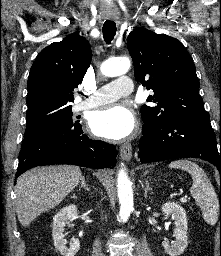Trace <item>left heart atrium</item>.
Masks as SVG:
<instances>
[{
	"label": "left heart atrium",
	"mask_w": 221,
	"mask_h": 256,
	"mask_svg": "<svg viewBox=\"0 0 221 256\" xmlns=\"http://www.w3.org/2000/svg\"><path fill=\"white\" fill-rule=\"evenodd\" d=\"M135 117L124 104L105 106L95 111L89 120L91 131L100 137L120 140L135 128Z\"/></svg>",
	"instance_id": "left-heart-atrium-1"
}]
</instances>
